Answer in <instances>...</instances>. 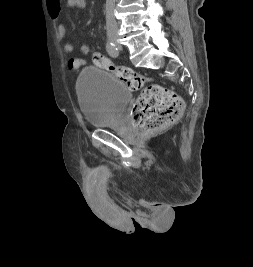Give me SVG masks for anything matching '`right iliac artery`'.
<instances>
[{
    "mask_svg": "<svg viewBox=\"0 0 253 267\" xmlns=\"http://www.w3.org/2000/svg\"><path fill=\"white\" fill-rule=\"evenodd\" d=\"M106 50L111 57L115 58V57H118V55H119L117 46L114 43H112L111 41H107Z\"/></svg>",
    "mask_w": 253,
    "mask_h": 267,
    "instance_id": "obj_1",
    "label": "right iliac artery"
}]
</instances>
